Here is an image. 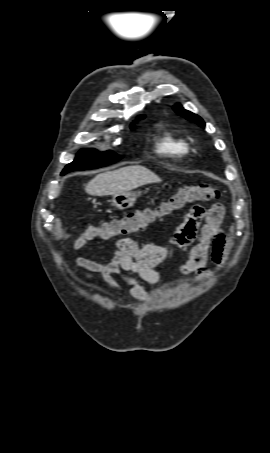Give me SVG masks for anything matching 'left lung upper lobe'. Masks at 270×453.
Wrapping results in <instances>:
<instances>
[{
    "instance_id": "obj_1",
    "label": "left lung upper lobe",
    "mask_w": 270,
    "mask_h": 453,
    "mask_svg": "<svg viewBox=\"0 0 270 453\" xmlns=\"http://www.w3.org/2000/svg\"><path fill=\"white\" fill-rule=\"evenodd\" d=\"M173 108L179 115L183 116L184 118L194 121L197 124H199L200 126L205 127L204 121L198 115L193 114L190 111L183 109L182 106L179 104L175 105Z\"/></svg>"
}]
</instances>
